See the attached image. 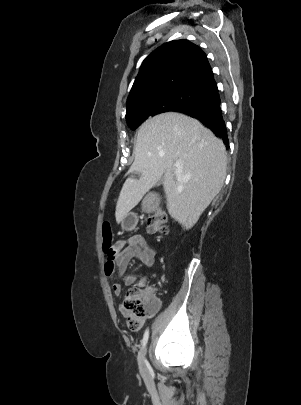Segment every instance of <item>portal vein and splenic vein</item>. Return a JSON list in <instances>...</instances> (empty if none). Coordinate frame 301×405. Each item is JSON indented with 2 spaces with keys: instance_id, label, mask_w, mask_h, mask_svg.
I'll return each instance as SVG.
<instances>
[{
  "instance_id": "portal-vein-and-splenic-vein-1",
  "label": "portal vein and splenic vein",
  "mask_w": 301,
  "mask_h": 405,
  "mask_svg": "<svg viewBox=\"0 0 301 405\" xmlns=\"http://www.w3.org/2000/svg\"><path fill=\"white\" fill-rule=\"evenodd\" d=\"M175 166H176V167L180 166V163H179V162H176V163H175Z\"/></svg>"
}]
</instances>
